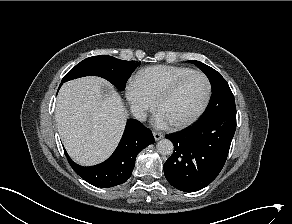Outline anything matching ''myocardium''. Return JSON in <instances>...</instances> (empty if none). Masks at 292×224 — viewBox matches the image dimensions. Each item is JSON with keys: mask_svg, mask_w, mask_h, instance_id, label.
Listing matches in <instances>:
<instances>
[{"mask_svg": "<svg viewBox=\"0 0 292 224\" xmlns=\"http://www.w3.org/2000/svg\"><path fill=\"white\" fill-rule=\"evenodd\" d=\"M195 76L202 77L206 82L207 92H206L205 99H204L201 107L197 110V112L192 117H190L189 119H187L185 121L179 122V123L169 124L170 128H172L173 130H181V129L189 127L190 125L195 123L203 115V113L206 111V109L210 103L211 96H212V84H211L209 77L205 73L200 72V71H194V72L188 73V74L182 76L181 78H179L178 80H176L174 83H172L167 89H165L158 96V98L155 101V109L158 112L160 106L166 100L171 98L181 88V86L185 82H187L189 79H191L192 77H195Z\"/></svg>", "mask_w": 292, "mask_h": 224, "instance_id": "myocardium-1", "label": "myocardium"}]
</instances>
